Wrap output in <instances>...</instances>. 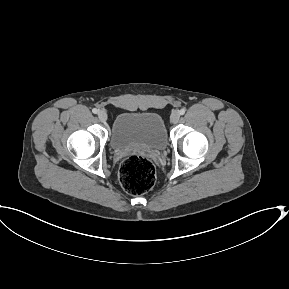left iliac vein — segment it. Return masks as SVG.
Wrapping results in <instances>:
<instances>
[{"label": "left iliac vein", "instance_id": "4c4485c4", "mask_svg": "<svg viewBox=\"0 0 289 289\" xmlns=\"http://www.w3.org/2000/svg\"><path fill=\"white\" fill-rule=\"evenodd\" d=\"M179 119H180V113L178 111L173 112L170 116V121L173 124L178 123Z\"/></svg>", "mask_w": 289, "mask_h": 289}]
</instances>
